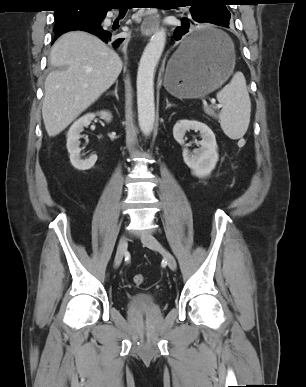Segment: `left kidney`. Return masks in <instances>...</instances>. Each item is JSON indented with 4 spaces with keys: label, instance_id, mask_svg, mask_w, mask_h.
<instances>
[{
    "label": "left kidney",
    "instance_id": "1",
    "mask_svg": "<svg viewBox=\"0 0 306 387\" xmlns=\"http://www.w3.org/2000/svg\"><path fill=\"white\" fill-rule=\"evenodd\" d=\"M199 131L202 138L198 142L200 147L190 152L183 149V160L192 170L193 175L204 178L210 175L218 161L217 143L213 131L204 123L195 120H180L173 127L174 139L181 145L187 131Z\"/></svg>",
    "mask_w": 306,
    "mask_h": 387
}]
</instances>
